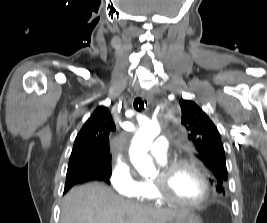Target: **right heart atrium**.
<instances>
[{
	"label": "right heart atrium",
	"instance_id": "d8ad5b80",
	"mask_svg": "<svg viewBox=\"0 0 267 223\" xmlns=\"http://www.w3.org/2000/svg\"><path fill=\"white\" fill-rule=\"evenodd\" d=\"M110 183L114 191L121 195H135L139 181L133 169L126 161H119L113 167Z\"/></svg>",
	"mask_w": 267,
	"mask_h": 223
}]
</instances>
